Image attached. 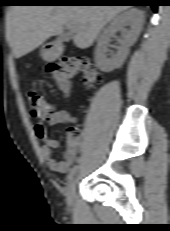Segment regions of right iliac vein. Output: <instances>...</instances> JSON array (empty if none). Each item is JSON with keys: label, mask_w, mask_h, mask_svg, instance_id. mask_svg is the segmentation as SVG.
I'll return each instance as SVG.
<instances>
[{"label": "right iliac vein", "mask_w": 170, "mask_h": 231, "mask_svg": "<svg viewBox=\"0 0 170 231\" xmlns=\"http://www.w3.org/2000/svg\"><path fill=\"white\" fill-rule=\"evenodd\" d=\"M78 180H79L78 177H75L74 179H72L70 181V184H69L68 189H67L66 200H67V204L70 208L74 204Z\"/></svg>", "instance_id": "63e3f726"}]
</instances>
